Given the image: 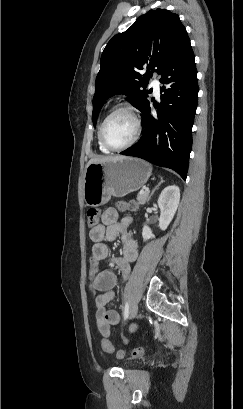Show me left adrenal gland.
<instances>
[{
	"mask_svg": "<svg viewBox=\"0 0 243 409\" xmlns=\"http://www.w3.org/2000/svg\"><path fill=\"white\" fill-rule=\"evenodd\" d=\"M162 182H163V180H161V181L155 186V188L152 190V192H151L149 198L152 196V194L155 192V190L161 185Z\"/></svg>",
	"mask_w": 243,
	"mask_h": 409,
	"instance_id": "obj_1",
	"label": "left adrenal gland"
}]
</instances>
